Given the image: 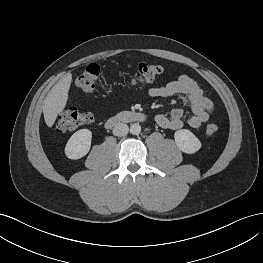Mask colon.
Wrapping results in <instances>:
<instances>
[{
	"instance_id": "obj_1",
	"label": "colon",
	"mask_w": 263,
	"mask_h": 263,
	"mask_svg": "<svg viewBox=\"0 0 263 263\" xmlns=\"http://www.w3.org/2000/svg\"><path fill=\"white\" fill-rule=\"evenodd\" d=\"M105 68L96 64L88 65L76 79V85L86 93L95 91L97 82L105 72ZM162 73V68L154 63H140L133 71L124 70V75L135 86H142L155 80ZM95 116L91 112H84L76 108L61 111L57 118L56 127L59 131H72L78 127L92 123ZM219 126L212 123L207 126L206 133L215 135Z\"/></svg>"
}]
</instances>
